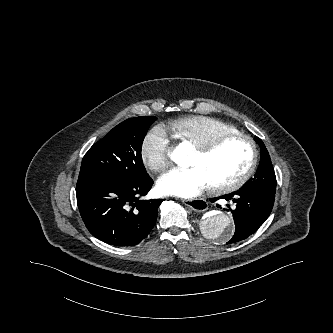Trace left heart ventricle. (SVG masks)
Segmentation results:
<instances>
[{
    "mask_svg": "<svg viewBox=\"0 0 333 333\" xmlns=\"http://www.w3.org/2000/svg\"><path fill=\"white\" fill-rule=\"evenodd\" d=\"M251 155V147L247 142L231 140L209 155H202L195 149L188 165L199 167L212 185L241 175L249 166Z\"/></svg>",
    "mask_w": 333,
    "mask_h": 333,
    "instance_id": "b2bd125f",
    "label": "left heart ventricle"
}]
</instances>
